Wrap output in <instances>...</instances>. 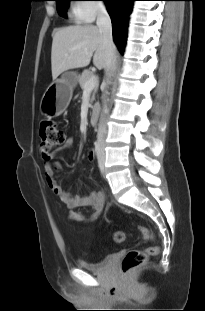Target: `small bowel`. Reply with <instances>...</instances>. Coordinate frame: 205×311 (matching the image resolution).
Masks as SVG:
<instances>
[{"instance_id": "small-bowel-1", "label": "small bowel", "mask_w": 205, "mask_h": 311, "mask_svg": "<svg viewBox=\"0 0 205 311\" xmlns=\"http://www.w3.org/2000/svg\"><path fill=\"white\" fill-rule=\"evenodd\" d=\"M73 145L74 139L68 137L62 145V149H70ZM87 158L89 161H94L96 159V152L93 150L89 151ZM58 167L57 163L46 160L44 163V174L49 188L60 198L61 202L70 209L68 215L69 219L74 222L94 221L104 208V194L102 192H92L88 195L72 196L63 189L55 177V170L58 169ZM82 207L90 208V215L88 218L85 217L82 211L77 210Z\"/></svg>"}]
</instances>
